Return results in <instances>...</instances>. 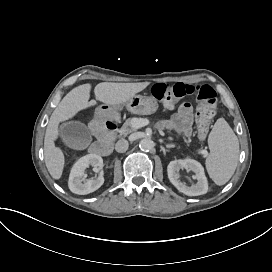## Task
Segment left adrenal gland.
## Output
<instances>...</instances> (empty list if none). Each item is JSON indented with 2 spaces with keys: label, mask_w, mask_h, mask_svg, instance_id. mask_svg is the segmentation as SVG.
<instances>
[{
  "label": "left adrenal gland",
  "mask_w": 272,
  "mask_h": 272,
  "mask_svg": "<svg viewBox=\"0 0 272 272\" xmlns=\"http://www.w3.org/2000/svg\"><path fill=\"white\" fill-rule=\"evenodd\" d=\"M166 147H167V148H174L175 145H174V144H166Z\"/></svg>",
  "instance_id": "a2214340"
}]
</instances>
